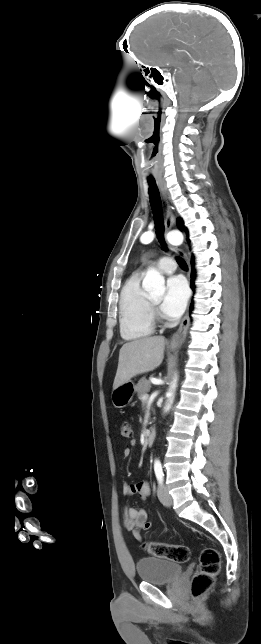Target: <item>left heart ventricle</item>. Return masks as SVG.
<instances>
[{
    "label": "left heart ventricle",
    "mask_w": 261,
    "mask_h": 644,
    "mask_svg": "<svg viewBox=\"0 0 261 644\" xmlns=\"http://www.w3.org/2000/svg\"><path fill=\"white\" fill-rule=\"evenodd\" d=\"M153 301H154L156 304H159V302L161 301V297H155V298H153Z\"/></svg>",
    "instance_id": "b2bd125f"
}]
</instances>
